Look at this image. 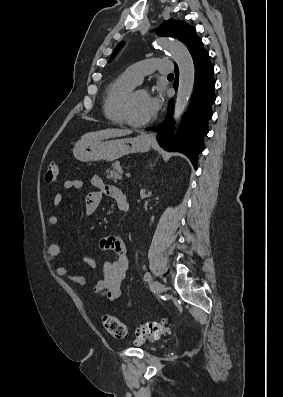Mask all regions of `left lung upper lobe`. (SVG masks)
Returning a JSON list of instances; mask_svg holds the SVG:
<instances>
[{
  "label": "left lung upper lobe",
  "instance_id": "5c2ea615",
  "mask_svg": "<svg viewBox=\"0 0 283 397\" xmlns=\"http://www.w3.org/2000/svg\"><path fill=\"white\" fill-rule=\"evenodd\" d=\"M157 33L160 36L177 38L186 44L189 51L199 44H202V40L196 35L195 28L184 21L174 19L167 20L158 28ZM119 48L120 45L117 46L112 53L110 61L116 55Z\"/></svg>",
  "mask_w": 283,
  "mask_h": 397
}]
</instances>
